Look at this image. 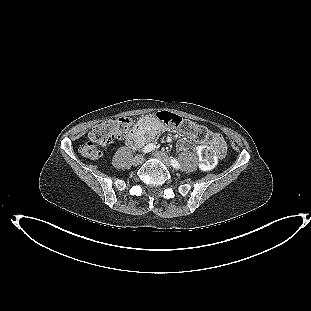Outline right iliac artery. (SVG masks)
<instances>
[{
  "mask_svg": "<svg viewBox=\"0 0 311 311\" xmlns=\"http://www.w3.org/2000/svg\"><path fill=\"white\" fill-rule=\"evenodd\" d=\"M155 148V145H153V144H148V145H146L144 148H143V152L144 153H149V152H151L153 149Z\"/></svg>",
  "mask_w": 311,
  "mask_h": 311,
  "instance_id": "right-iliac-artery-1",
  "label": "right iliac artery"
}]
</instances>
